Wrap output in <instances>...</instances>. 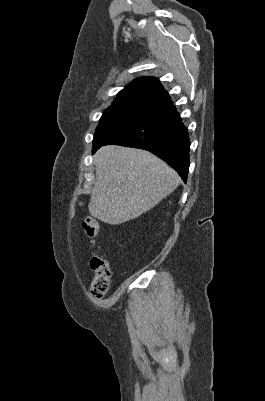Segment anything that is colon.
I'll list each match as a JSON object with an SVG mask.
<instances>
[{
    "instance_id": "1",
    "label": "colon",
    "mask_w": 265,
    "mask_h": 401,
    "mask_svg": "<svg viewBox=\"0 0 265 401\" xmlns=\"http://www.w3.org/2000/svg\"><path fill=\"white\" fill-rule=\"evenodd\" d=\"M83 228L86 234L95 239L99 234V223L93 217H85ZM94 277L90 285V294L95 299H100L106 295L110 287L111 269L107 260L99 255H94L90 262Z\"/></svg>"
}]
</instances>
